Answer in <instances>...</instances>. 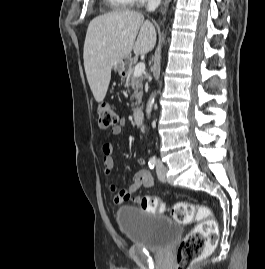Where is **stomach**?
I'll return each instance as SVG.
<instances>
[{
    "instance_id": "0dacf381",
    "label": "stomach",
    "mask_w": 265,
    "mask_h": 269,
    "mask_svg": "<svg viewBox=\"0 0 265 269\" xmlns=\"http://www.w3.org/2000/svg\"><path fill=\"white\" fill-rule=\"evenodd\" d=\"M131 65V60L129 57L117 60L113 63L112 69L118 72L119 75L124 76L127 74V70Z\"/></svg>"
}]
</instances>
